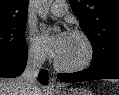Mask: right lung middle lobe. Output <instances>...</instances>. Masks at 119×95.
Returning a JSON list of instances; mask_svg holds the SVG:
<instances>
[{
    "label": "right lung middle lobe",
    "instance_id": "1",
    "mask_svg": "<svg viewBox=\"0 0 119 95\" xmlns=\"http://www.w3.org/2000/svg\"><path fill=\"white\" fill-rule=\"evenodd\" d=\"M26 21L0 25V51H20L26 46L23 37Z\"/></svg>",
    "mask_w": 119,
    "mask_h": 95
}]
</instances>
